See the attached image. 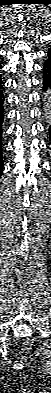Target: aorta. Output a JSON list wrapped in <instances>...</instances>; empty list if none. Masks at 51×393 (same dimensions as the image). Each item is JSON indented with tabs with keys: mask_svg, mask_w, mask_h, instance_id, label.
<instances>
[{
	"mask_svg": "<svg viewBox=\"0 0 51 393\" xmlns=\"http://www.w3.org/2000/svg\"><path fill=\"white\" fill-rule=\"evenodd\" d=\"M49 98H50L49 92H46L45 93V102H44V105H43V110H44L45 114L47 115L48 119H49V115H50V112H51V105H50V102H49Z\"/></svg>",
	"mask_w": 51,
	"mask_h": 393,
	"instance_id": "obj_1",
	"label": "aorta"
}]
</instances>
